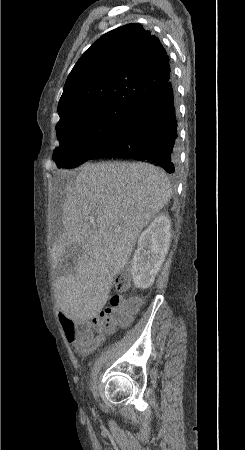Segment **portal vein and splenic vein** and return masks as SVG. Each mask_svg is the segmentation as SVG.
Wrapping results in <instances>:
<instances>
[{
	"instance_id": "1",
	"label": "portal vein and splenic vein",
	"mask_w": 245,
	"mask_h": 450,
	"mask_svg": "<svg viewBox=\"0 0 245 450\" xmlns=\"http://www.w3.org/2000/svg\"><path fill=\"white\" fill-rule=\"evenodd\" d=\"M94 227H95V225H94ZM120 231V229H114V232H119Z\"/></svg>"
}]
</instances>
